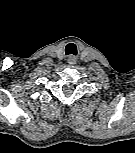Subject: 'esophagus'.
Wrapping results in <instances>:
<instances>
[{"label":"esophagus","instance_id":"esophagus-1","mask_svg":"<svg viewBox=\"0 0 135 153\" xmlns=\"http://www.w3.org/2000/svg\"><path fill=\"white\" fill-rule=\"evenodd\" d=\"M67 61L69 64L73 65V64H76L77 59L75 56H69Z\"/></svg>","mask_w":135,"mask_h":153}]
</instances>
